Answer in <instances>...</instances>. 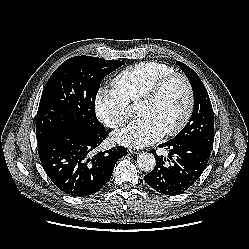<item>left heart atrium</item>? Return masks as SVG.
Returning <instances> with one entry per match:
<instances>
[{
	"label": "left heart atrium",
	"instance_id": "obj_1",
	"mask_svg": "<svg viewBox=\"0 0 249 249\" xmlns=\"http://www.w3.org/2000/svg\"><path fill=\"white\" fill-rule=\"evenodd\" d=\"M164 133L165 131L153 118L142 116L115 132L113 139L124 146L142 148L161 139Z\"/></svg>",
	"mask_w": 249,
	"mask_h": 249
}]
</instances>
